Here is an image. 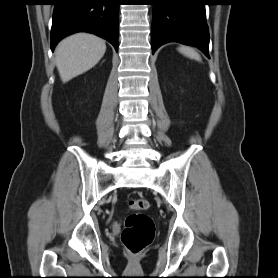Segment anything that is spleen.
Here are the masks:
<instances>
[{"label": "spleen", "instance_id": "1", "mask_svg": "<svg viewBox=\"0 0 278 278\" xmlns=\"http://www.w3.org/2000/svg\"><path fill=\"white\" fill-rule=\"evenodd\" d=\"M178 51L180 53H182L183 55H185L186 57H189V58L197 60V61H201L200 55L194 49H192L191 47L180 46L178 48Z\"/></svg>", "mask_w": 278, "mask_h": 278}]
</instances>
